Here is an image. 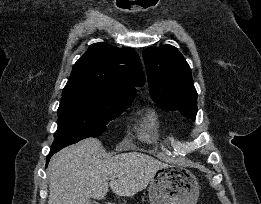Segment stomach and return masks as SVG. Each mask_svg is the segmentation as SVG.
<instances>
[{
	"label": "stomach",
	"mask_w": 261,
	"mask_h": 204,
	"mask_svg": "<svg viewBox=\"0 0 261 204\" xmlns=\"http://www.w3.org/2000/svg\"><path fill=\"white\" fill-rule=\"evenodd\" d=\"M199 190L197 178L188 169L167 165L155 172L148 193L151 204H196Z\"/></svg>",
	"instance_id": "1"
}]
</instances>
